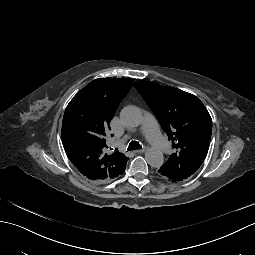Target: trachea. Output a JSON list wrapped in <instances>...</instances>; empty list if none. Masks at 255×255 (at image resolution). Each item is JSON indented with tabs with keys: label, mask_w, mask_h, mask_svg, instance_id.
<instances>
[{
	"label": "trachea",
	"mask_w": 255,
	"mask_h": 255,
	"mask_svg": "<svg viewBox=\"0 0 255 255\" xmlns=\"http://www.w3.org/2000/svg\"><path fill=\"white\" fill-rule=\"evenodd\" d=\"M139 149H142V146L138 142L132 141V142L129 143L127 151L139 150Z\"/></svg>",
	"instance_id": "1"
}]
</instances>
